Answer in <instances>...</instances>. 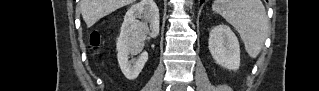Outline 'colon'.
Returning a JSON list of instances; mask_svg holds the SVG:
<instances>
[{"label":"colon","mask_w":319,"mask_h":91,"mask_svg":"<svg viewBox=\"0 0 319 91\" xmlns=\"http://www.w3.org/2000/svg\"><path fill=\"white\" fill-rule=\"evenodd\" d=\"M101 40V36L100 33L98 31H94L92 32V34L90 35V43L92 46L96 47L99 45Z\"/></svg>","instance_id":"5ec220e1"}]
</instances>
